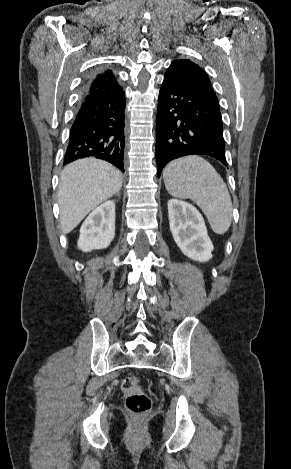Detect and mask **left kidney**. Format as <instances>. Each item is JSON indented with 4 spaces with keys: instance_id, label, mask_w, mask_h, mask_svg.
Listing matches in <instances>:
<instances>
[{
    "instance_id": "1",
    "label": "left kidney",
    "mask_w": 291,
    "mask_h": 469,
    "mask_svg": "<svg viewBox=\"0 0 291 469\" xmlns=\"http://www.w3.org/2000/svg\"><path fill=\"white\" fill-rule=\"evenodd\" d=\"M168 215L174 241L183 254L194 261H209L214 247L200 212L192 204L170 199Z\"/></svg>"
}]
</instances>
